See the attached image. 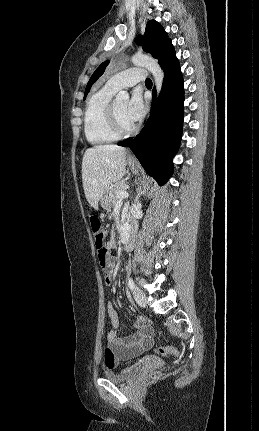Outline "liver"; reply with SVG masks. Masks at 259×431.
Instances as JSON below:
<instances>
[{
    "instance_id": "1",
    "label": "liver",
    "mask_w": 259,
    "mask_h": 431,
    "mask_svg": "<svg viewBox=\"0 0 259 431\" xmlns=\"http://www.w3.org/2000/svg\"><path fill=\"white\" fill-rule=\"evenodd\" d=\"M126 172V149L116 145H97L85 151L82 160V182L90 206L98 209L101 197Z\"/></svg>"
}]
</instances>
